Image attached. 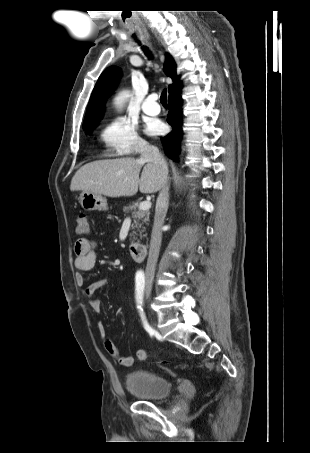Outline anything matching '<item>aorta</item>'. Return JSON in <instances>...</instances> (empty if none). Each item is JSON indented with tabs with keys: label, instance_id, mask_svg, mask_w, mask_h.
<instances>
[{
	"label": "aorta",
	"instance_id": "aorta-1",
	"mask_svg": "<svg viewBox=\"0 0 310 453\" xmlns=\"http://www.w3.org/2000/svg\"><path fill=\"white\" fill-rule=\"evenodd\" d=\"M129 96L128 91H122L121 93L118 94V96L115 98V104L117 107H122L123 103L126 101L127 97Z\"/></svg>",
	"mask_w": 310,
	"mask_h": 453
}]
</instances>
